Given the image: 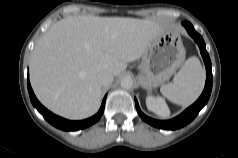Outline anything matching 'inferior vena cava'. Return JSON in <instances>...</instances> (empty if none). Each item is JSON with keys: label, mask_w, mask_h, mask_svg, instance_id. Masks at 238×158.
Masks as SVG:
<instances>
[{"label": "inferior vena cava", "mask_w": 238, "mask_h": 158, "mask_svg": "<svg viewBox=\"0 0 238 158\" xmlns=\"http://www.w3.org/2000/svg\"><path fill=\"white\" fill-rule=\"evenodd\" d=\"M97 80L101 86L108 87L113 82V75L106 70H102L97 74Z\"/></svg>", "instance_id": "inferior-vena-cava-1"}]
</instances>
